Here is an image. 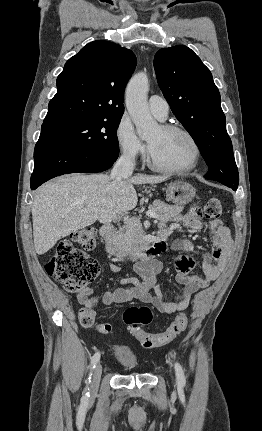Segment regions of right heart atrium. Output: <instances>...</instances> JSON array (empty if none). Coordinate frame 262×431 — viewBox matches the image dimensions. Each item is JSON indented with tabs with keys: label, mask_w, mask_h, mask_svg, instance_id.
Masks as SVG:
<instances>
[{
	"label": "right heart atrium",
	"mask_w": 262,
	"mask_h": 431,
	"mask_svg": "<svg viewBox=\"0 0 262 431\" xmlns=\"http://www.w3.org/2000/svg\"><path fill=\"white\" fill-rule=\"evenodd\" d=\"M116 140L121 154L129 159L136 160L145 153V145L137 136L131 121L123 117L116 128Z\"/></svg>",
	"instance_id": "right-heart-atrium-1"
}]
</instances>
